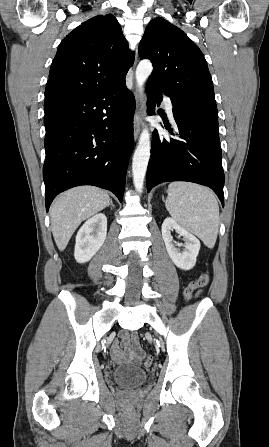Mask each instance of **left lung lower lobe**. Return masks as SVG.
Returning <instances> with one entry per match:
<instances>
[{
	"label": "left lung lower lobe",
	"mask_w": 269,
	"mask_h": 447,
	"mask_svg": "<svg viewBox=\"0 0 269 447\" xmlns=\"http://www.w3.org/2000/svg\"><path fill=\"white\" fill-rule=\"evenodd\" d=\"M148 114L162 101V93L146 86ZM173 105V104H172ZM175 130L171 136L153 131L151 157L147 169V191L162 182L189 181L210 187L224 206V172L221 163L218 124L196 120L173 105Z\"/></svg>",
	"instance_id": "left-lung-lower-lobe-1"
}]
</instances>
